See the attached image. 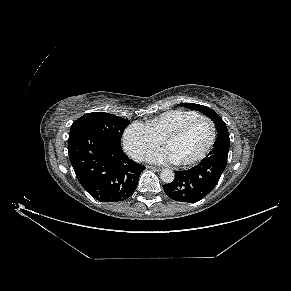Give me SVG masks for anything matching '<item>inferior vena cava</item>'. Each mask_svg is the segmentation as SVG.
Instances as JSON below:
<instances>
[{
	"instance_id": "inferior-vena-cava-1",
	"label": "inferior vena cava",
	"mask_w": 291,
	"mask_h": 291,
	"mask_svg": "<svg viewBox=\"0 0 291 291\" xmlns=\"http://www.w3.org/2000/svg\"><path fill=\"white\" fill-rule=\"evenodd\" d=\"M134 158H135L136 160H141L142 155L138 153V154H136V155L134 156Z\"/></svg>"
}]
</instances>
